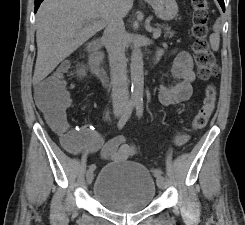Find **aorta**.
<instances>
[{"label": "aorta", "mask_w": 245, "mask_h": 225, "mask_svg": "<svg viewBox=\"0 0 245 225\" xmlns=\"http://www.w3.org/2000/svg\"><path fill=\"white\" fill-rule=\"evenodd\" d=\"M131 101L140 103L143 101L144 91V71H143V56L140 45L135 44L132 49L131 63Z\"/></svg>", "instance_id": "762f6f07"}]
</instances>
